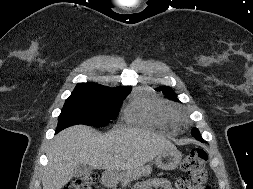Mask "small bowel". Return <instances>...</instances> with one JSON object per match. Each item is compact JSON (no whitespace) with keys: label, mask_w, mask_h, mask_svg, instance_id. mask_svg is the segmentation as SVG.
<instances>
[{"label":"small bowel","mask_w":253,"mask_h":189,"mask_svg":"<svg viewBox=\"0 0 253 189\" xmlns=\"http://www.w3.org/2000/svg\"><path fill=\"white\" fill-rule=\"evenodd\" d=\"M172 189L168 180L160 178L152 182L139 184L135 189ZM198 189V188H197Z\"/></svg>","instance_id":"obj_1"}]
</instances>
